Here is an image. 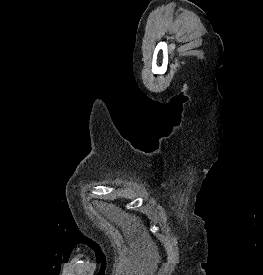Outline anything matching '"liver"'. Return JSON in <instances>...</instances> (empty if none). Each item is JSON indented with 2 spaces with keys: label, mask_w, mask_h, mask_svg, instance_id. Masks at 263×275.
<instances>
[{
  "label": "liver",
  "mask_w": 263,
  "mask_h": 275,
  "mask_svg": "<svg viewBox=\"0 0 263 275\" xmlns=\"http://www.w3.org/2000/svg\"><path fill=\"white\" fill-rule=\"evenodd\" d=\"M111 211V219L115 221L117 224L121 225L123 228H127L130 230L132 226L135 227L138 223H136V217L129 215L126 212H123L121 209L114 207L113 205L108 206Z\"/></svg>",
  "instance_id": "liver-1"
}]
</instances>
